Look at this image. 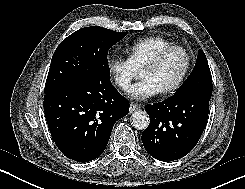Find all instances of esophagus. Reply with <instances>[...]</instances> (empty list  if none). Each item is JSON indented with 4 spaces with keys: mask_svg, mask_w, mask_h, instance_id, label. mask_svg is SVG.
Masks as SVG:
<instances>
[{
    "mask_svg": "<svg viewBox=\"0 0 245 189\" xmlns=\"http://www.w3.org/2000/svg\"><path fill=\"white\" fill-rule=\"evenodd\" d=\"M140 107L137 105V104H135V103H130V107H129V111H130V113H133V112H135L136 110H138Z\"/></svg>",
    "mask_w": 245,
    "mask_h": 189,
    "instance_id": "34e87169",
    "label": "esophagus"
}]
</instances>
